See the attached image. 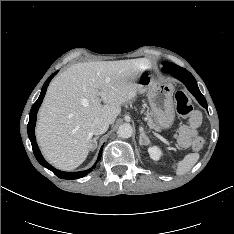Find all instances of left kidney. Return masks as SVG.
<instances>
[{
	"instance_id": "5707ae66",
	"label": "left kidney",
	"mask_w": 234,
	"mask_h": 234,
	"mask_svg": "<svg viewBox=\"0 0 234 234\" xmlns=\"http://www.w3.org/2000/svg\"><path fill=\"white\" fill-rule=\"evenodd\" d=\"M148 153L150 155V158L154 161H158L162 156V151L157 146L149 147Z\"/></svg>"
}]
</instances>
